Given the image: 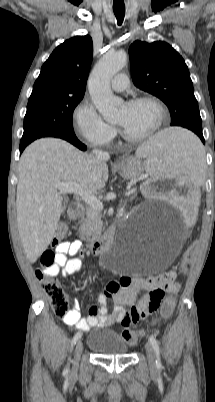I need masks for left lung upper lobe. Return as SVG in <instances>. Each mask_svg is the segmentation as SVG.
I'll return each mask as SVG.
<instances>
[{"label":"left lung upper lobe","instance_id":"left-lung-upper-lobe-1","mask_svg":"<svg viewBox=\"0 0 215 402\" xmlns=\"http://www.w3.org/2000/svg\"><path fill=\"white\" fill-rule=\"evenodd\" d=\"M135 86L160 98L169 108L171 126L202 135V120L184 59L168 43L135 41L129 48Z\"/></svg>","mask_w":215,"mask_h":402}]
</instances>
